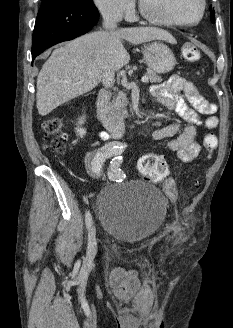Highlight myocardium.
I'll list each match as a JSON object with an SVG mask.
<instances>
[{
    "label": "myocardium",
    "mask_w": 233,
    "mask_h": 328,
    "mask_svg": "<svg viewBox=\"0 0 233 328\" xmlns=\"http://www.w3.org/2000/svg\"><path fill=\"white\" fill-rule=\"evenodd\" d=\"M201 4V10L198 18L194 21L191 22H183V21H178L174 19H168L164 18L158 15H155L152 13L144 4L143 0H139L138 6H139V11L141 15L147 19L148 21L158 24V25H163V26H175V27H193L198 25L205 17L206 13V0H200Z\"/></svg>",
    "instance_id": "obj_1"
}]
</instances>
